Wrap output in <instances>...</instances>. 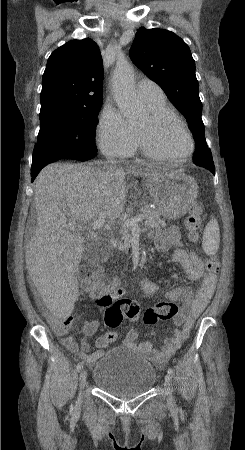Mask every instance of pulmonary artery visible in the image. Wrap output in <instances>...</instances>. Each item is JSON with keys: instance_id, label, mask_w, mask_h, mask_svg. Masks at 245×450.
<instances>
[{"instance_id": "obj_1", "label": "pulmonary artery", "mask_w": 245, "mask_h": 450, "mask_svg": "<svg viewBox=\"0 0 245 450\" xmlns=\"http://www.w3.org/2000/svg\"><path fill=\"white\" fill-rule=\"evenodd\" d=\"M136 92L141 101L146 105H151L164 101L165 95L161 87L149 79L138 82Z\"/></svg>"}]
</instances>
